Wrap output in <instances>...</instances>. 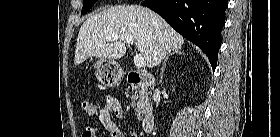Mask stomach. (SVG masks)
<instances>
[{"mask_svg":"<svg viewBox=\"0 0 280 137\" xmlns=\"http://www.w3.org/2000/svg\"><path fill=\"white\" fill-rule=\"evenodd\" d=\"M95 75L103 85L114 87L121 82L123 71L114 60L100 59L95 64Z\"/></svg>","mask_w":280,"mask_h":137,"instance_id":"0dacf381","label":"stomach"}]
</instances>
